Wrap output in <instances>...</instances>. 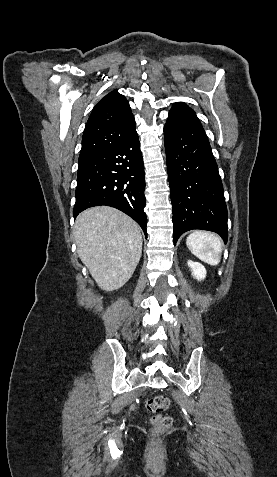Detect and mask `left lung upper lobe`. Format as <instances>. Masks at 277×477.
Returning a JSON list of instances; mask_svg holds the SVG:
<instances>
[{"mask_svg": "<svg viewBox=\"0 0 277 477\" xmlns=\"http://www.w3.org/2000/svg\"><path fill=\"white\" fill-rule=\"evenodd\" d=\"M176 120L193 121L200 123L195 112L182 102L174 103L171 108V111L169 112L168 121Z\"/></svg>", "mask_w": 277, "mask_h": 477, "instance_id": "left-lung-upper-lobe-1", "label": "left lung upper lobe"}]
</instances>
